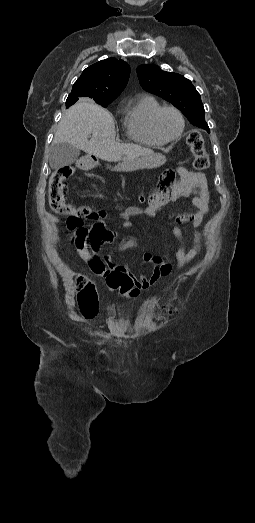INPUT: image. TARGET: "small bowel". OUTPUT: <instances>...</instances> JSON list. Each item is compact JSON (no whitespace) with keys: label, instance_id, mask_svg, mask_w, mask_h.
I'll return each mask as SVG.
<instances>
[{"label":"small bowel","instance_id":"1","mask_svg":"<svg viewBox=\"0 0 255 523\" xmlns=\"http://www.w3.org/2000/svg\"><path fill=\"white\" fill-rule=\"evenodd\" d=\"M177 172L180 176V182L172 189H168L164 185L159 194L150 198V203L146 209L130 208L120 214V227L128 229L133 226L130 221V218L133 216L139 214L154 216L159 209L171 201L179 198L190 199L193 211L178 215L172 227L173 235L179 242V247L175 253L176 264L172 266L164 262L160 256L144 253L142 260L145 264L153 265L152 274L150 277H146L143 274L135 276L127 266H118L112 263L108 257H101L103 245L113 242L116 238V233L106 227L104 212L98 213L99 219L95 220L91 226H84L81 223L67 219L66 227L69 231V243L75 246L80 258L95 274L106 276L110 272L124 273L131 277L140 289H147L181 270L196 257L200 250L198 233L196 232L195 235L196 245L187 251L184 247L182 231L178 225L190 222L197 229L208 214L209 193L207 181L205 175L201 172L187 170L186 168H179ZM170 179L171 174H167L164 176L163 181L169 182ZM194 189L199 190L198 195H193ZM134 247L135 243L132 240H128L120 241L116 249L122 251Z\"/></svg>","mask_w":255,"mask_h":523}]
</instances>
